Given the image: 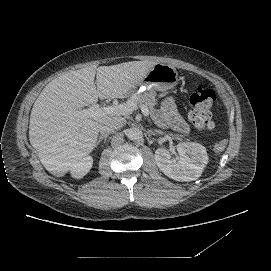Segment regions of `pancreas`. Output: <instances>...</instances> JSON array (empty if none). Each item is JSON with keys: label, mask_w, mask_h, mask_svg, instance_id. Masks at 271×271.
<instances>
[{"label": "pancreas", "mask_w": 271, "mask_h": 271, "mask_svg": "<svg viewBox=\"0 0 271 271\" xmlns=\"http://www.w3.org/2000/svg\"><path fill=\"white\" fill-rule=\"evenodd\" d=\"M158 101H159V97L156 92H145L140 95L134 94L130 96L128 99V104H131L132 106H136V107L147 106L150 110V113L154 114L155 113L154 109L156 108ZM166 133L169 136H171L172 139L174 140H179V141L183 140L181 137L177 136L176 134L172 132L164 131L163 135ZM184 140L189 141L190 139L188 137H185Z\"/></svg>", "instance_id": "1"}]
</instances>
